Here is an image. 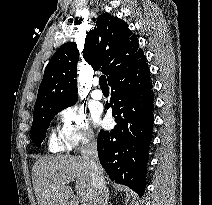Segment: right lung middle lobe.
Listing matches in <instances>:
<instances>
[{"mask_svg":"<svg viewBox=\"0 0 212 205\" xmlns=\"http://www.w3.org/2000/svg\"><path fill=\"white\" fill-rule=\"evenodd\" d=\"M76 103V102H75ZM45 105L34 110L33 123L31 128V139L33 143L40 146L45 139L46 130L49 127L51 119L61 110L74 105Z\"/></svg>","mask_w":212,"mask_h":205,"instance_id":"1","label":"right lung middle lobe"}]
</instances>
